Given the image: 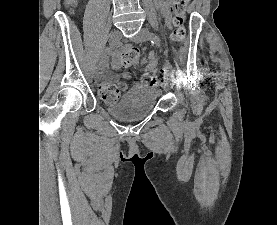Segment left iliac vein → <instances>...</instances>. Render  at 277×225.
I'll use <instances>...</instances> for the list:
<instances>
[{"instance_id":"4c4485c4","label":"left iliac vein","mask_w":277,"mask_h":225,"mask_svg":"<svg viewBox=\"0 0 277 225\" xmlns=\"http://www.w3.org/2000/svg\"><path fill=\"white\" fill-rule=\"evenodd\" d=\"M148 38V29L142 28L133 38L132 40L136 43H143ZM175 77L168 76V81L170 82L171 87L175 84Z\"/></svg>"}]
</instances>
